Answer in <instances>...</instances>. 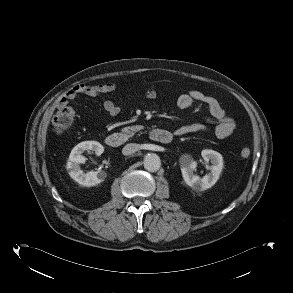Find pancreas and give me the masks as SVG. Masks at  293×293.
<instances>
[{
    "label": "pancreas",
    "mask_w": 293,
    "mask_h": 293,
    "mask_svg": "<svg viewBox=\"0 0 293 293\" xmlns=\"http://www.w3.org/2000/svg\"><path fill=\"white\" fill-rule=\"evenodd\" d=\"M143 129V126L136 125V126H129L122 128V133H124L128 138L132 137L137 131Z\"/></svg>",
    "instance_id": "cf45deb5"
}]
</instances>
